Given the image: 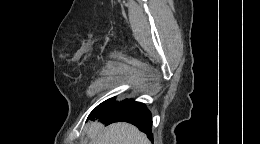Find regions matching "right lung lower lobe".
<instances>
[{
    "label": "right lung lower lobe",
    "mask_w": 260,
    "mask_h": 144,
    "mask_svg": "<svg viewBox=\"0 0 260 144\" xmlns=\"http://www.w3.org/2000/svg\"><path fill=\"white\" fill-rule=\"evenodd\" d=\"M88 118H99L105 125L119 121L129 122L153 140L151 113L141 102L134 100L115 102V98H112L91 113Z\"/></svg>",
    "instance_id": "98d812e1"
}]
</instances>
